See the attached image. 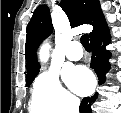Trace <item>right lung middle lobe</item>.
<instances>
[{
	"instance_id": "1",
	"label": "right lung middle lobe",
	"mask_w": 121,
	"mask_h": 113,
	"mask_svg": "<svg viewBox=\"0 0 121 113\" xmlns=\"http://www.w3.org/2000/svg\"><path fill=\"white\" fill-rule=\"evenodd\" d=\"M38 73H39V71H36V72H34V73H32V74L27 75V80H26V85H27V86H29V85L33 82L35 76H36Z\"/></svg>"
}]
</instances>
